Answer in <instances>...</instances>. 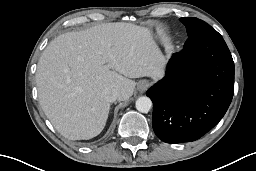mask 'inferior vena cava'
Here are the masks:
<instances>
[{
  "mask_svg": "<svg viewBox=\"0 0 256 171\" xmlns=\"http://www.w3.org/2000/svg\"><path fill=\"white\" fill-rule=\"evenodd\" d=\"M102 95L107 102H114L118 99L119 93L115 88H106Z\"/></svg>",
  "mask_w": 256,
  "mask_h": 171,
  "instance_id": "inferior-vena-cava-1",
  "label": "inferior vena cava"
}]
</instances>
